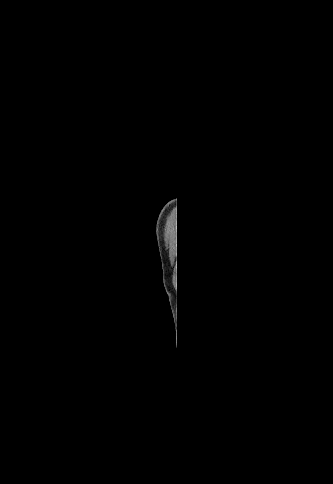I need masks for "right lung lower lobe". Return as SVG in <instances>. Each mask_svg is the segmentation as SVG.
I'll return each instance as SVG.
<instances>
[{
	"label": "right lung lower lobe",
	"mask_w": 333,
	"mask_h": 484,
	"mask_svg": "<svg viewBox=\"0 0 333 484\" xmlns=\"http://www.w3.org/2000/svg\"><path fill=\"white\" fill-rule=\"evenodd\" d=\"M177 309H178V310H177V311H178V312H177V317H178V318H177V319H178V320H177V321H178V322H177V323H178V333L180 332V336H181V334L184 332V331H183V330H184V322H183V319H182V317H181V315H180L181 313H179V305H178ZM180 340L182 341V339H180Z\"/></svg>",
	"instance_id": "right-lung-lower-lobe-1"
}]
</instances>
